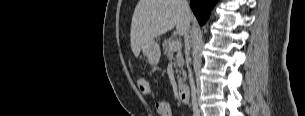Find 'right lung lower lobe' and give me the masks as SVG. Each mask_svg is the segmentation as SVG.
<instances>
[{"label": "right lung lower lobe", "instance_id": "1", "mask_svg": "<svg viewBox=\"0 0 305 116\" xmlns=\"http://www.w3.org/2000/svg\"><path fill=\"white\" fill-rule=\"evenodd\" d=\"M217 0H191L190 7L197 17L200 25H203L209 17L210 10Z\"/></svg>", "mask_w": 305, "mask_h": 116}]
</instances>
